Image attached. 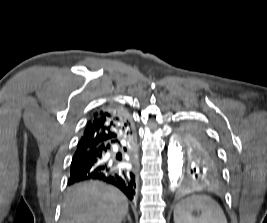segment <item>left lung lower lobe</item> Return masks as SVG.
<instances>
[{"mask_svg": "<svg viewBox=\"0 0 267 223\" xmlns=\"http://www.w3.org/2000/svg\"><path fill=\"white\" fill-rule=\"evenodd\" d=\"M181 176H192L186 181V189H224L225 186L221 182L225 171H181Z\"/></svg>", "mask_w": 267, "mask_h": 223, "instance_id": "0a47b994", "label": "left lung lower lobe"}]
</instances>
